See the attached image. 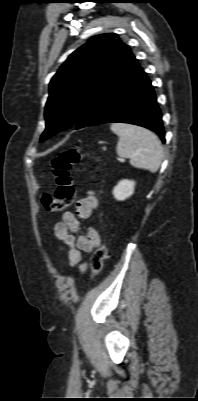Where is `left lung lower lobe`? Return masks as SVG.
Returning <instances> with one entry per match:
<instances>
[{
  "label": "left lung lower lobe",
  "mask_w": 198,
  "mask_h": 401,
  "mask_svg": "<svg viewBox=\"0 0 198 401\" xmlns=\"http://www.w3.org/2000/svg\"><path fill=\"white\" fill-rule=\"evenodd\" d=\"M161 117L151 81L131 54L92 100L75 127L130 123L156 132L165 142Z\"/></svg>",
  "instance_id": "1"
}]
</instances>
